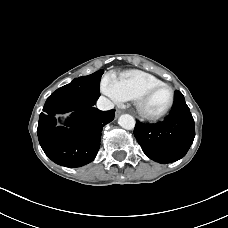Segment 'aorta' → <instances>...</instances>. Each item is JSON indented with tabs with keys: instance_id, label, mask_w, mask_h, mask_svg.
Here are the masks:
<instances>
[{
	"instance_id": "aorta-1",
	"label": "aorta",
	"mask_w": 228,
	"mask_h": 228,
	"mask_svg": "<svg viewBox=\"0 0 228 228\" xmlns=\"http://www.w3.org/2000/svg\"><path fill=\"white\" fill-rule=\"evenodd\" d=\"M118 124L126 130H131L135 127V119L129 114H123L119 117Z\"/></svg>"
}]
</instances>
